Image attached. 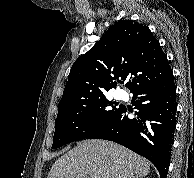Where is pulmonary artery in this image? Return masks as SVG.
<instances>
[{"label":"pulmonary artery","mask_w":194,"mask_h":178,"mask_svg":"<svg viewBox=\"0 0 194 178\" xmlns=\"http://www.w3.org/2000/svg\"><path fill=\"white\" fill-rule=\"evenodd\" d=\"M115 97L118 98V99H121V98H122V94L119 93V92H117V93L115 94Z\"/></svg>","instance_id":"e3ab8cb5"}]
</instances>
